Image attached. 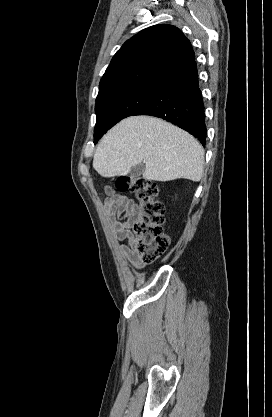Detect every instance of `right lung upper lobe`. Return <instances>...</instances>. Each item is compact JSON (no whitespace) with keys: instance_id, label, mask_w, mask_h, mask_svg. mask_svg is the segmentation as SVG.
Instances as JSON below:
<instances>
[{"instance_id":"obj_1","label":"right lung upper lobe","mask_w":272,"mask_h":417,"mask_svg":"<svg viewBox=\"0 0 272 417\" xmlns=\"http://www.w3.org/2000/svg\"><path fill=\"white\" fill-rule=\"evenodd\" d=\"M194 60L190 41L177 27L151 26L116 52L100 81L96 101L131 87L161 86Z\"/></svg>"}]
</instances>
